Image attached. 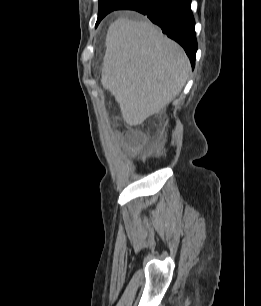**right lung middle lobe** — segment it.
<instances>
[{
	"label": "right lung middle lobe",
	"instance_id": "right-lung-middle-lobe-1",
	"mask_svg": "<svg viewBox=\"0 0 261 306\" xmlns=\"http://www.w3.org/2000/svg\"><path fill=\"white\" fill-rule=\"evenodd\" d=\"M128 1L129 0H108V1L99 2L98 19L102 18L109 12L118 9Z\"/></svg>",
	"mask_w": 261,
	"mask_h": 306
}]
</instances>
